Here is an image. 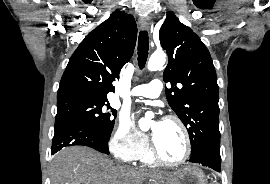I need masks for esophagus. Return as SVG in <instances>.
I'll list each match as a JSON object with an SVG mask.
<instances>
[{
	"label": "esophagus",
	"instance_id": "1",
	"mask_svg": "<svg viewBox=\"0 0 270 184\" xmlns=\"http://www.w3.org/2000/svg\"><path fill=\"white\" fill-rule=\"evenodd\" d=\"M139 25L143 30H148L151 25V20L149 17H140Z\"/></svg>",
	"mask_w": 270,
	"mask_h": 184
}]
</instances>
